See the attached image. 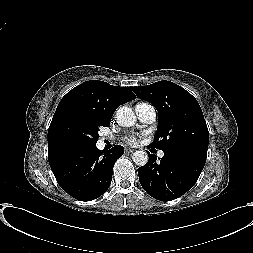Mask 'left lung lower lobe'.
Masks as SVG:
<instances>
[{
    "instance_id": "0a47b994",
    "label": "left lung lower lobe",
    "mask_w": 253,
    "mask_h": 253,
    "mask_svg": "<svg viewBox=\"0 0 253 253\" xmlns=\"http://www.w3.org/2000/svg\"><path fill=\"white\" fill-rule=\"evenodd\" d=\"M163 152L160 161L148 152L149 161L138 168V174L141 186L150 196L169 201L182 196L195 185L206 158L178 150Z\"/></svg>"
}]
</instances>
